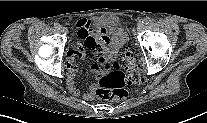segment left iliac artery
I'll use <instances>...</instances> for the list:
<instances>
[{
  "instance_id": "left-iliac-artery-1",
  "label": "left iliac artery",
  "mask_w": 207,
  "mask_h": 123,
  "mask_svg": "<svg viewBox=\"0 0 207 123\" xmlns=\"http://www.w3.org/2000/svg\"><path fill=\"white\" fill-rule=\"evenodd\" d=\"M151 22V18L150 17H146L144 19V24H149Z\"/></svg>"
}]
</instances>
